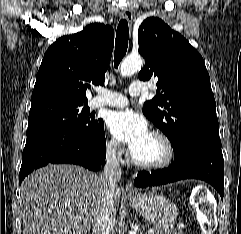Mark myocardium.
<instances>
[{"label": "myocardium", "mask_w": 241, "mask_h": 234, "mask_svg": "<svg viewBox=\"0 0 241 234\" xmlns=\"http://www.w3.org/2000/svg\"><path fill=\"white\" fill-rule=\"evenodd\" d=\"M152 136L158 138L164 147V156L157 162H141L137 160L132 153L130 154L131 163L137 168L143 170H159L169 166L175 156V150L170 138L161 130L155 129L150 132Z\"/></svg>", "instance_id": "f54148a6"}]
</instances>
